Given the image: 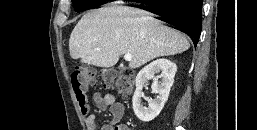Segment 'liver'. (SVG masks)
I'll return each mask as SVG.
<instances>
[{"label":"liver","instance_id":"1","mask_svg":"<svg viewBox=\"0 0 257 130\" xmlns=\"http://www.w3.org/2000/svg\"><path fill=\"white\" fill-rule=\"evenodd\" d=\"M190 47L180 32L162 24L149 12L121 6L88 12L76 24L69 39L72 59L97 67L114 66L123 54H131V69Z\"/></svg>","mask_w":257,"mask_h":130}]
</instances>
